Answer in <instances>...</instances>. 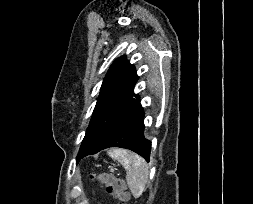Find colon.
<instances>
[{
    "label": "colon",
    "mask_w": 253,
    "mask_h": 204,
    "mask_svg": "<svg viewBox=\"0 0 253 204\" xmlns=\"http://www.w3.org/2000/svg\"><path fill=\"white\" fill-rule=\"evenodd\" d=\"M90 179L93 182L103 184L107 193L114 199L122 202L128 199L124 181L115 175L111 173L90 174Z\"/></svg>",
    "instance_id": "1"
}]
</instances>
